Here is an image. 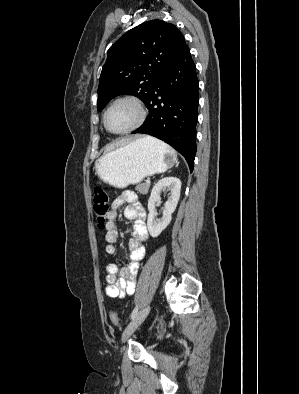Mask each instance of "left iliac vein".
<instances>
[{
    "instance_id": "left-iliac-vein-1",
    "label": "left iliac vein",
    "mask_w": 299,
    "mask_h": 394,
    "mask_svg": "<svg viewBox=\"0 0 299 394\" xmlns=\"http://www.w3.org/2000/svg\"><path fill=\"white\" fill-rule=\"evenodd\" d=\"M150 306H146L132 319V321L128 324L122 334V342H125L134 331L140 326V324L145 320L147 315L149 314Z\"/></svg>"
}]
</instances>
